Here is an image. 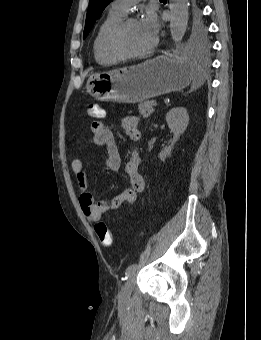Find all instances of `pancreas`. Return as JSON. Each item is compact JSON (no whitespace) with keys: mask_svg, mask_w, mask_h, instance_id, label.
Returning a JSON list of instances; mask_svg holds the SVG:
<instances>
[{"mask_svg":"<svg viewBox=\"0 0 261 340\" xmlns=\"http://www.w3.org/2000/svg\"><path fill=\"white\" fill-rule=\"evenodd\" d=\"M153 103L154 101H146L139 103L138 109L140 115H142L144 118H148L154 112Z\"/></svg>","mask_w":261,"mask_h":340,"instance_id":"1","label":"pancreas"}]
</instances>
